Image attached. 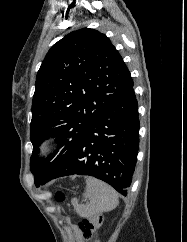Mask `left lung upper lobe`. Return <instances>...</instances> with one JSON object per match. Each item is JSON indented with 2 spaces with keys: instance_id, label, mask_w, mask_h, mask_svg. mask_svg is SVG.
Listing matches in <instances>:
<instances>
[{
  "instance_id": "left-lung-upper-lobe-1",
  "label": "left lung upper lobe",
  "mask_w": 187,
  "mask_h": 242,
  "mask_svg": "<svg viewBox=\"0 0 187 242\" xmlns=\"http://www.w3.org/2000/svg\"><path fill=\"white\" fill-rule=\"evenodd\" d=\"M133 84L121 55L104 34L80 29L54 44L37 73L32 101L34 177L62 163L92 122ZM50 137L56 138L58 149L39 157V145Z\"/></svg>"
}]
</instances>
